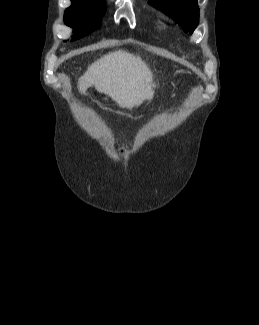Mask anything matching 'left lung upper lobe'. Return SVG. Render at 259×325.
Returning <instances> with one entry per match:
<instances>
[{
	"mask_svg": "<svg viewBox=\"0 0 259 325\" xmlns=\"http://www.w3.org/2000/svg\"><path fill=\"white\" fill-rule=\"evenodd\" d=\"M152 6L162 8L170 15L184 32L193 33L199 23L197 0H149Z\"/></svg>",
	"mask_w": 259,
	"mask_h": 325,
	"instance_id": "1",
	"label": "left lung upper lobe"
}]
</instances>
